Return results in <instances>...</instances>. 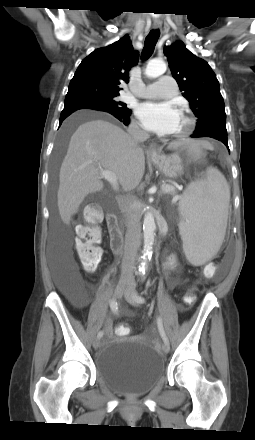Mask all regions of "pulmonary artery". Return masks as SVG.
Segmentation results:
<instances>
[{"instance_id": "pulmonary-artery-1", "label": "pulmonary artery", "mask_w": 255, "mask_h": 440, "mask_svg": "<svg viewBox=\"0 0 255 440\" xmlns=\"http://www.w3.org/2000/svg\"><path fill=\"white\" fill-rule=\"evenodd\" d=\"M133 93L142 98H170L177 94V84L173 77L163 75L157 82L147 85L140 91H133Z\"/></svg>"}]
</instances>
